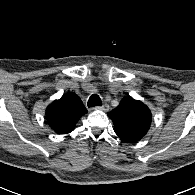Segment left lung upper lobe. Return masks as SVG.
<instances>
[{
  "instance_id": "left-lung-upper-lobe-1",
  "label": "left lung upper lobe",
  "mask_w": 195,
  "mask_h": 195,
  "mask_svg": "<svg viewBox=\"0 0 195 195\" xmlns=\"http://www.w3.org/2000/svg\"><path fill=\"white\" fill-rule=\"evenodd\" d=\"M108 116L114 123L115 133L124 141L135 143L148 132L151 125V112L139 100L131 96L124 97L120 104Z\"/></svg>"
}]
</instances>
